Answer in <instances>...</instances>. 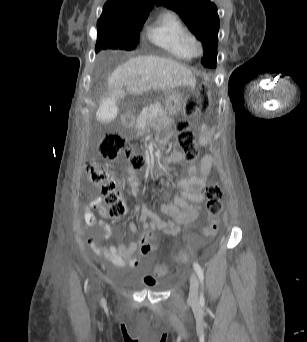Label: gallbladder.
Masks as SVG:
<instances>
[{
	"label": "gallbladder",
	"instance_id": "bac80fb5",
	"mask_svg": "<svg viewBox=\"0 0 307 342\" xmlns=\"http://www.w3.org/2000/svg\"><path fill=\"white\" fill-rule=\"evenodd\" d=\"M104 102L96 108L99 123H111L117 113L118 103L123 101L122 95H105Z\"/></svg>",
	"mask_w": 307,
	"mask_h": 342
}]
</instances>
